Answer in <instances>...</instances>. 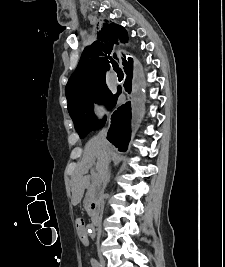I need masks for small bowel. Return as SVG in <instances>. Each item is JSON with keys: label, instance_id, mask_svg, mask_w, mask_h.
Returning <instances> with one entry per match:
<instances>
[{"label": "small bowel", "instance_id": "small-bowel-1", "mask_svg": "<svg viewBox=\"0 0 225 267\" xmlns=\"http://www.w3.org/2000/svg\"><path fill=\"white\" fill-rule=\"evenodd\" d=\"M90 228V226H87V229L85 230V234L84 235H79V239L82 243L86 244L88 242L89 239V235H88V229Z\"/></svg>", "mask_w": 225, "mask_h": 267}]
</instances>
